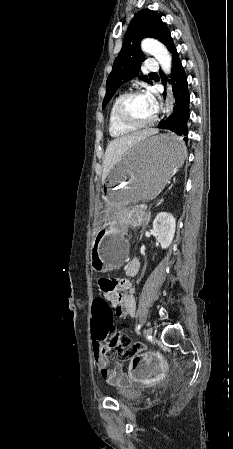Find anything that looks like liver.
<instances>
[{
	"label": "liver",
	"instance_id": "obj_1",
	"mask_svg": "<svg viewBox=\"0 0 233 449\" xmlns=\"http://www.w3.org/2000/svg\"><path fill=\"white\" fill-rule=\"evenodd\" d=\"M157 132V129H145L135 133H125L124 136L112 140L108 144L104 155L102 182L105 181L111 169L123 159L129 149L139 141Z\"/></svg>",
	"mask_w": 233,
	"mask_h": 449
}]
</instances>
